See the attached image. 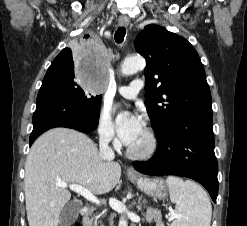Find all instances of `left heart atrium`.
Listing matches in <instances>:
<instances>
[{
    "instance_id": "obj_1",
    "label": "left heart atrium",
    "mask_w": 247,
    "mask_h": 226,
    "mask_svg": "<svg viewBox=\"0 0 247 226\" xmlns=\"http://www.w3.org/2000/svg\"><path fill=\"white\" fill-rule=\"evenodd\" d=\"M143 131L144 122L137 114H131L118 127L119 136L126 145L132 144Z\"/></svg>"
}]
</instances>
